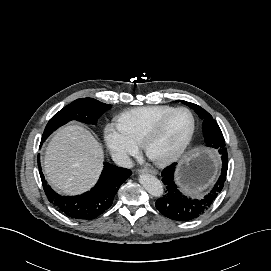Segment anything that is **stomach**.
Returning <instances> with one entry per match:
<instances>
[{"label":"stomach","mask_w":271,"mask_h":271,"mask_svg":"<svg viewBox=\"0 0 271 271\" xmlns=\"http://www.w3.org/2000/svg\"><path fill=\"white\" fill-rule=\"evenodd\" d=\"M217 167V158L211 152L195 151L187 156L178 170L183 191L190 195L203 191L214 179Z\"/></svg>","instance_id":"1"}]
</instances>
